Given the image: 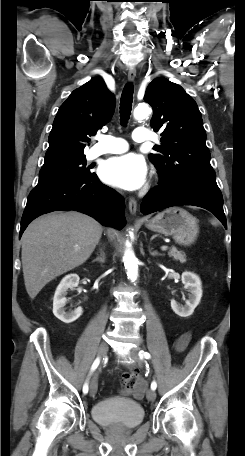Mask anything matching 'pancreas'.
<instances>
[{"label": "pancreas", "mask_w": 245, "mask_h": 456, "mask_svg": "<svg viewBox=\"0 0 245 456\" xmlns=\"http://www.w3.org/2000/svg\"><path fill=\"white\" fill-rule=\"evenodd\" d=\"M168 255L181 263L186 262V255L182 251H179L176 247H172L168 252Z\"/></svg>", "instance_id": "pancreas-1"}]
</instances>
